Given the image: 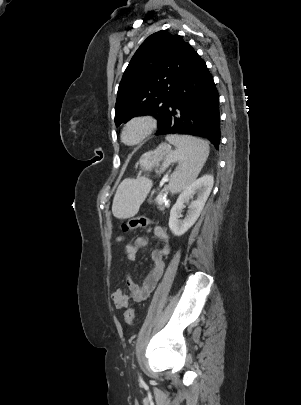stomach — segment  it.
Segmentation results:
<instances>
[{
  "instance_id": "stomach-1",
  "label": "stomach",
  "mask_w": 301,
  "mask_h": 405,
  "mask_svg": "<svg viewBox=\"0 0 301 405\" xmlns=\"http://www.w3.org/2000/svg\"><path fill=\"white\" fill-rule=\"evenodd\" d=\"M172 148L169 144H160L155 150L144 153L138 162L141 171H151L158 167L161 160L166 159L172 154Z\"/></svg>"
}]
</instances>
